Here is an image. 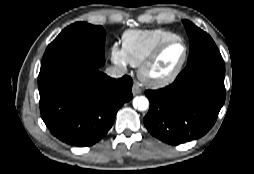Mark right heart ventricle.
Here are the masks:
<instances>
[{
    "instance_id": "obj_1",
    "label": "right heart ventricle",
    "mask_w": 254,
    "mask_h": 174,
    "mask_svg": "<svg viewBox=\"0 0 254 174\" xmlns=\"http://www.w3.org/2000/svg\"><path fill=\"white\" fill-rule=\"evenodd\" d=\"M177 34L166 29H132L122 35V49L128 63L138 67L161 42Z\"/></svg>"
}]
</instances>
